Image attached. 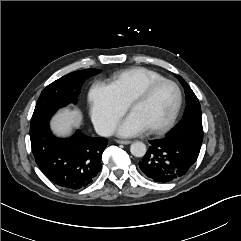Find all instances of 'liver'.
<instances>
[{"instance_id": "obj_1", "label": "liver", "mask_w": 241, "mask_h": 241, "mask_svg": "<svg viewBox=\"0 0 241 241\" xmlns=\"http://www.w3.org/2000/svg\"><path fill=\"white\" fill-rule=\"evenodd\" d=\"M82 114L77 109H62L51 121V128L58 136H67L74 127L80 125Z\"/></svg>"}]
</instances>
